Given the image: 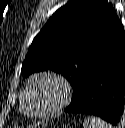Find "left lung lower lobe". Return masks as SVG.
Segmentation results:
<instances>
[{"label": "left lung lower lobe", "mask_w": 125, "mask_h": 128, "mask_svg": "<svg viewBox=\"0 0 125 128\" xmlns=\"http://www.w3.org/2000/svg\"><path fill=\"white\" fill-rule=\"evenodd\" d=\"M125 107V32L89 72L78 99L65 112L99 116L113 126Z\"/></svg>", "instance_id": "obj_1"}]
</instances>
